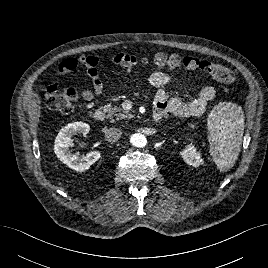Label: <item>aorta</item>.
<instances>
[{
    "label": "aorta",
    "mask_w": 268,
    "mask_h": 268,
    "mask_svg": "<svg viewBox=\"0 0 268 268\" xmlns=\"http://www.w3.org/2000/svg\"><path fill=\"white\" fill-rule=\"evenodd\" d=\"M130 142L135 147H144L147 144V139L143 134L135 133L131 135Z\"/></svg>",
    "instance_id": "aorta-1"
}]
</instances>
